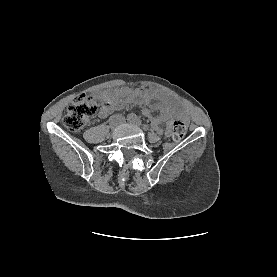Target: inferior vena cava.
I'll list each match as a JSON object with an SVG mask.
<instances>
[{
  "label": "inferior vena cava",
  "instance_id": "602c4592",
  "mask_svg": "<svg viewBox=\"0 0 277 277\" xmlns=\"http://www.w3.org/2000/svg\"><path fill=\"white\" fill-rule=\"evenodd\" d=\"M119 118L121 119V122L119 124L123 123L125 118L123 116H121V115L119 116Z\"/></svg>",
  "mask_w": 277,
  "mask_h": 277
}]
</instances>
